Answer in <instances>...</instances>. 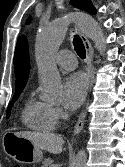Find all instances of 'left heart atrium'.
I'll return each mask as SVG.
<instances>
[{"label":"left heart atrium","mask_w":125,"mask_h":167,"mask_svg":"<svg viewBox=\"0 0 125 167\" xmlns=\"http://www.w3.org/2000/svg\"><path fill=\"white\" fill-rule=\"evenodd\" d=\"M87 79L79 72L70 74L63 85V105L68 110L77 109L84 101L87 92Z\"/></svg>","instance_id":"obj_1"}]
</instances>
